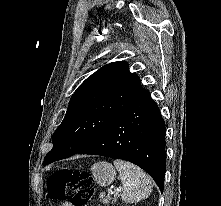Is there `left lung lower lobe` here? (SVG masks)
I'll list each match as a JSON object with an SVG mask.
<instances>
[{
	"mask_svg": "<svg viewBox=\"0 0 221 206\" xmlns=\"http://www.w3.org/2000/svg\"><path fill=\"white\" fill-rule=\"evenodd\" d=\"M78 154L126 160L145 170L161 192L165 177V123L146 90Z\"/></svg>",
	"mask_w": 221,
	"mask_h": 206,
	"instance_id": "0a47b994",
	"label": "left lung lower lobe"
}]
</instances>
